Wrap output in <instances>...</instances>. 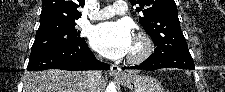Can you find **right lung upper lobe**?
<instances>
[{"label":"right lung upper lobe","instance_id":"1","mask_svg":"<svg viewBox=\"0 0 225 92\" xmlns=\"http://www.w3.org/2000/svg\"><path fill=\"white\" fill-rule=\"evenodd\" d=\"M85 0H43L40 24L50 22H75L81 17L78 7H83Z\"/></svg>","mask_w":225,"mask_h":92}]
</instances>
